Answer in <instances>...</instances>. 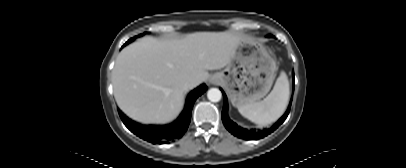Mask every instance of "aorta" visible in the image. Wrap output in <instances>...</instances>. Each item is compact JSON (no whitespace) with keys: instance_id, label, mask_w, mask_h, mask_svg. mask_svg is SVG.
<instances>
[{"instance_id":"aorta-1","label":"aorta","mask_w":406,"mask_h":168,"mask_svg":"<svg viewBox=\"0 0 406 168\" xmlns=\"http://www.w3.org/2000/svg\"><path fill=\"white\" fill-rule=\"evenodd\" d=\"M207 97L211 102H219L222 98V93L218 88H211L207 92Z\"/></svg>"}]
</instances>
